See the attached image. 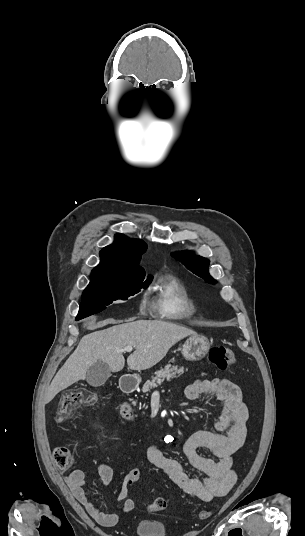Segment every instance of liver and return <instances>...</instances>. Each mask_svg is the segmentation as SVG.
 <instances>
[{
  "mask_svg": "<svg viewBox=\"0 0 305 536\" xmlns=\"http://www.w3.org/2000/svg\"><path fill=\"white\" fill-rule=\"evenodd\" d=\"M129 318V324L112 326L101 332L83 336L75 352L57 372L50 386L45 390L44 404H49L56 394L66 390L79 380H85L89 366L95 362H106L111 372H120L125 366L123 352L125 346H133L135 352L127 358L130 370H149L163 360L168 350L187 336L196 332L161 320H137ZM106 324H117L116 320H104ZM86 326V324H84Z\"/></svg>",
  "mask_w": 305,
  "mask_h": 536,
  "instance_id": "liver-1",
  "label": "liver"
}]
</instances>
